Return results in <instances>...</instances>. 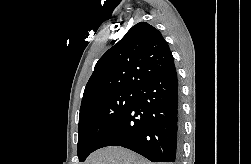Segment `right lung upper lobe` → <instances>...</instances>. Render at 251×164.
Here are the masks:
<instances>
[{
  "instance_id": "cb5924a9",
  "label": "right lung upper lobe",
  "mask_w": 251,
  "mask_h": 164,
  "mask_svg": "<svg viewBox=\"0 0 251 164\" xmlns=\"http://www.w3.org/2000/svg\"><path fill=\"white\" fill-rule=\"evenodd\" d=\"M173 64L172 53L161 33L152 25L140 22L96 63L81 106L107 93L138 89Z\"/></svg>"
}]
</instances>
